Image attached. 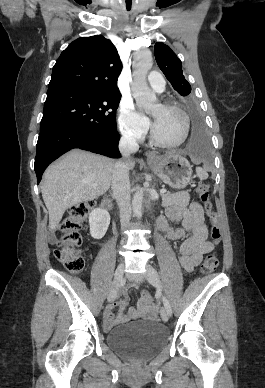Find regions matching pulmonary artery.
Instances as JSON below:
<instances>
[{
    "mask_svg": "<svg viewBox=\"0 0 265 388\" xmlns=\"http://www.w3.org/2000/svg\"><path fill=\"white\" fill-rule=\"evenodd\" d=\"M164 83L161 75H150L149 77V85L153 86L154 90H163V87H166Z\"/></svg>",
    "mask_w": 265,
    "mask_h": 388,
    "instance_id": "e3ab8cb5",
    "label": "pulmonary artery"
}]
</instances>
